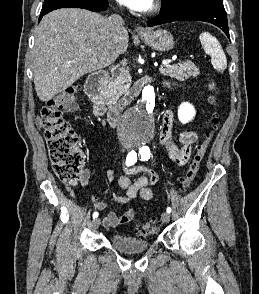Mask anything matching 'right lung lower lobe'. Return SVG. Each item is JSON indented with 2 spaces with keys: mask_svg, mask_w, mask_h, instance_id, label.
I'll return each instance as SVG.
<instances>
[{
  "mask_svg": "<svg viewBox=\"0 0 259 294\" xmlns=\"http://www.w3.org/2000/svg\"><path fill=\"white\" fill-rule=\"evenodd\" d=\"M66 7L84 8V9H88V10H91L94 12H98V11L106 10L108 7V2H107V0H94L92 2L83 3V4L71 3V2H60V3L53 5L52 7H50L46 11H41V15L39 16V20H41V18L45 14H47L53 10H56L59 8H66Z\"/></svg>",
  "mask_w": 259,
  "mask_h": 294,
  "instance_id": "98d812e1",
  "label": "right lung lower lobe"
}]
</instances>
